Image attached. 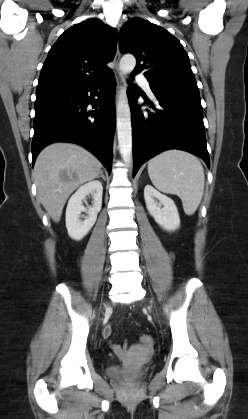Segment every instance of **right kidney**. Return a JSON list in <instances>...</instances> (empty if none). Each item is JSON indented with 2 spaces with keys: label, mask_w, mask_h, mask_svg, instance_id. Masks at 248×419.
<instances>
[{
  "label": "right kidney",
  "mask_w": 248,
  "mask_h": 419,
  "mask_svg": "<svg viewBox=\"0 0 248 419\" xmlns=\"http://www.w3.org/2000/svg\"><path fill=\"white\" fill-rule=\"evenodd\" d=\"M102 193L101 182L95 180L81 186L69 199L66 209V228L72 239L81 240L95 224L102 206ZM89 194L92 195L93 206L87 210L82 205V201ZM84 211H87L88 216L81 221L80 215Z\"/></svg>",
  "instance_id": "obj_1"
}]
</instances>
